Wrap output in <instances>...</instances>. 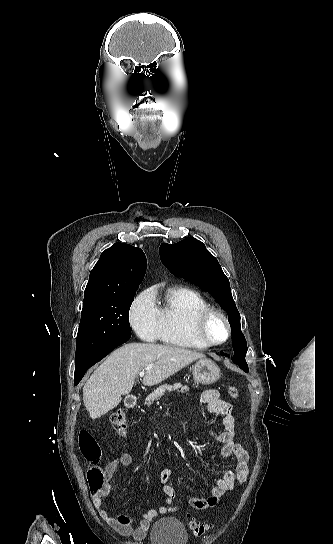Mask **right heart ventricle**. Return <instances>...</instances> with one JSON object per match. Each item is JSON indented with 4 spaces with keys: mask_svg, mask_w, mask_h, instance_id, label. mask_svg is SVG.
Instances as JSON below:
<instances>
[{
    "mask_svg": "<svg viewBox=\"0 0 333 544\" xmlns=\"http://www.w3.org/2000/svg\"><path fill=\"white\" fill-rule=\"evenodd\" d=\"M209 307L210 303L197 290L186 286L169 288L158 308L161 319L160 339L178 347L207 348L196 336L195 323L198 315Z\"/></svg>",
    "mask_w": 333,
    "mask_h": 544,
    "instance_id": "1",
    "label": "right heart ventricle"
}]
</instances>
